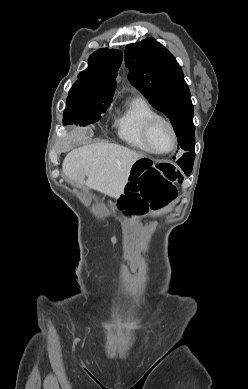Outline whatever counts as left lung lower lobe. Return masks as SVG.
<instances>
[{"instance_id":"0a47b994","label":"left lung lower lobe","mask_w":248,"mask_h":389,"mask_svg":"<svg viewBox=\"0 0 248 389\" xmlns=\"http://www.w3.org/2000/svg\"><path fill=\"white\" fill-rule=\"evenodd\" d=\"M187 128L190 130V134H195V126L193 124V121H189L187 123ZM194 157L195 151L192 150L184 153L183 156L177 160V164L182 168V170L187 176L190 175L192 171Z\"/></svg>"}]
</instances>
